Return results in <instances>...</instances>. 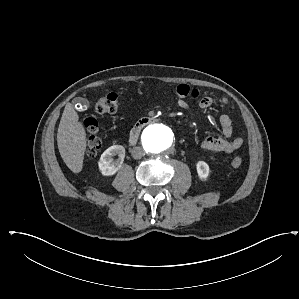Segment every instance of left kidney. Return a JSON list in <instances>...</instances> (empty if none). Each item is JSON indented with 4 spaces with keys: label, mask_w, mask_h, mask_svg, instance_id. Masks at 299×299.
Returning a JSON list of instances; mask_svg holds the SVG:
<instances>
[{
    "label": "left kidney",
    "mask_w": 299,
    "mask_h": 299,
    "mask_svg": "<svg viewBox=\"0 0 299 299\" xmlns=\"http://www.w3.org/2000/svg\"><path fill=\"white\" fill-rule=\"evenodd\" d=\"M196 169L200 180L206 181L209 175V165L204 161H198Z\"/></svg>",
    "instance_id": "5707ae66"
}]
</instances>
